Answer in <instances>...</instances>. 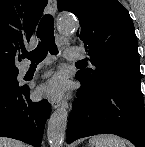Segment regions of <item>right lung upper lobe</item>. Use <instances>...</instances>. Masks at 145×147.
Masks as SVG:
<instances>
[{
  "instance_id": "1",
  "label": "right lung upper lobe",
  "mask_w": 145,
  "mask_h": 147,
  "mask_svg": "<svg viewBox=\"0 0 145 147\" xmlns=\"http://www.w3.org/2000/svg\"><path fill=\"white\" fill-rule=\"evenodd\" d=\"M48 0H0V74L15 73L23 41L30 40Z\"/></svg>"
}]
</instances>
